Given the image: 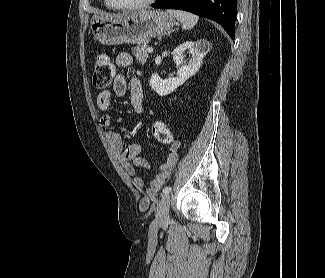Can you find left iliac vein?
<instances>
[{
	"instance_id": "1",
	"label": "left iliac vein",
	"mask_w": 325,
	"mask_h": 278,
	"mask_svg": "<svg viewBox=\"0 0 325 278\" xmlns=\"http://www.w3.org/2000/svg\"><path fill=\"white\" fill-rule=\"evenodd\" d=\"M170 195L165 194L158 203L156 222L160 225L166 224L169 220Z\"/></svg>"
}]
</instances>
